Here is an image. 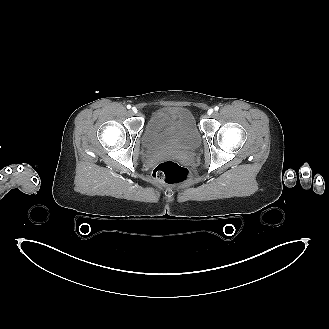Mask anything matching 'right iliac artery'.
<instances>
[{"mask_svg":"<svg viewBox=\"0 0 329 329\" xmlns=\"http://www.w3.org/2000/svg\"><path fill=\"white\" fill-rule=\"evenodd\" d=\"M127 108L130 109L131 108V105H127Z\"/></svg>","mask_w":329,"mask_h":329,"instance_id":"right-iliac-artery-1","label":"right iliac artery"}]
</instances>
